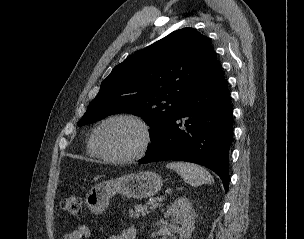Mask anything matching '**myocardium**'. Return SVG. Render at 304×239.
<instances>
[{
  "label": "myocardium",
  "instance_id": "1",
  "mask_svg": "<svg viewBox=\"0 0 304 239\" xmlns=\"http://www.w3.org/2000/svg\"><path fill=\"white\" fill-rule=\"evenodd\" d=\"M119 120H126L133 122L136 125H138L142 131V141L139 148L133 153L124 156L108 154L101 149L98 143V134L101 128L110 122L119 121ZM151 142H152V131L150 125L142 117L132 113H119L105 118L96 126V128L94 129L91 135V144L97 155L106 161L112 163H119V164L130 163L142 158L148 151Z\"/></svg>",
  "mask_w": 304,
  "mask_h": 239
}]
</instances>
